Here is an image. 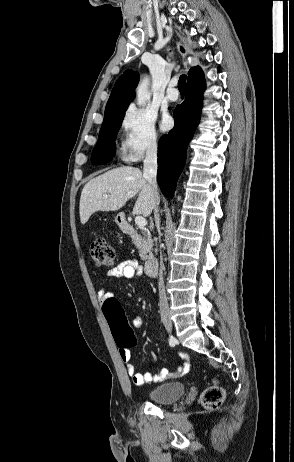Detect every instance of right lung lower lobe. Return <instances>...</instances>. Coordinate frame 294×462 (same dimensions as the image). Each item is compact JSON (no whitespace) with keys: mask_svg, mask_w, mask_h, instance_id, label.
Segmentation results:
<instances>
[{"mask_svg":"<svg viewBox=\"0 0 294 462\" xmlns=\"http://www.w3.org/2000/svg\"><path fill=\"white\" fill-rule=\"evenodd\" d=\"M204 74L187 82L185 101L174 110L175 126L158 147V183L167 197H173L176 182L186 161L187 146L200 120Z\"/></svg>","mask_w":294,"mask_h":462,"instance_id":"right-lung-lower-lobe-1","label":"right lung lower lobe"}]
</instances>
